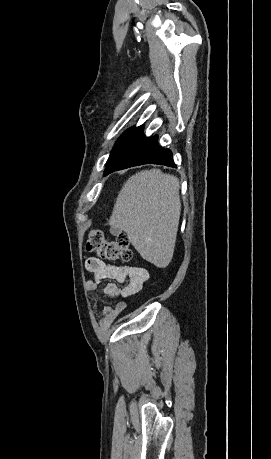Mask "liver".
<instances>
[{
    "label": "liver",
    "mask_w": 271,
    "mask_h": 459,
    "mask_svg": "<svg viewBox=\"0 0 271 459\" xmlns=\"http://www.w3.org/2000/svg\"><path fill=\"white\" fill-rule=\"evenodd\" d=\"M176 176L144 170L128 178L114 204L110 226L124 229L140 255L156 267L170 263L181 202Z\"/></svg>",
    "instance_id": "obj_1"
}]
</instances>
